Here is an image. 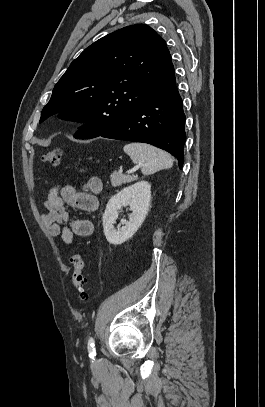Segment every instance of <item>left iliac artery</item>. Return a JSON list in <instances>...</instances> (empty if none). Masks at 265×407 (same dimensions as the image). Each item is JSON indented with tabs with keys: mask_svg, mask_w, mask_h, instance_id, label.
<instances>
[{
	"mask_svg": "<svg viewBox=\"0 0 265 407\" xmlns=\"http://www.w3.org/2000/svg\"><path fill=\"white\" fill-rule=\"evenodd\" d=\"M95 344H94V339L93 337H90L89 341H88V352H89V357L94 359V357L96 356V351L94 348Z\"/></svg>",
	"mask_w": 265,
	"mask_h": 407,
	"instance_id": "44dca946",
	"label": "left iliac artery"
}]
</instances>
